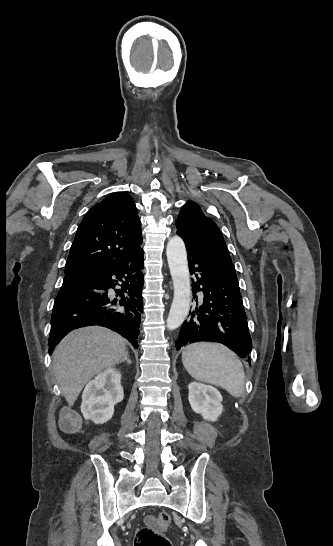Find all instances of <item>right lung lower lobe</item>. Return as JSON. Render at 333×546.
<instances>
[{"label": "right lung lower lobe", "instance_id": "1", "mask_svg": "<svg viewBox=\"0 0 333 546\" xmlns=\"http://www.w3.org/2000/svg\"><path fill=\"white\" fill-rule=\"evenodd\" d=\"M143 256L142 250L126 263L64 277L52 311L49 354L68 332L91 325L110 328L138 348Z\"/></svg>", "mask_w": 333, "mask_h": 546}]
</instances>
